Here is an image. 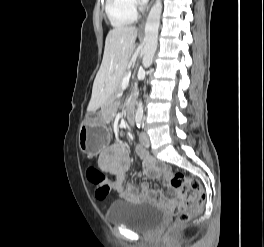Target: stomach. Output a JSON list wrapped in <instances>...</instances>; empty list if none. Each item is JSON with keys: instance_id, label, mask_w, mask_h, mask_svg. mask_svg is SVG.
<instances>
[{"instance_id": "0dacf381", "label": "stomach", "mask_w": 264, "mask_h": 247, "mask_svg": "<svg viewBox=\"0 0 264 247\" xmlns=\"http://www.w3.org/2000/svg\"><path fill=\"white\" fill-rule=\"evenodd\" d=\"M109 141V130L102 115L86 119L79 129V147L91 155L98 154Z\"/></svg>"}]
</instances>
